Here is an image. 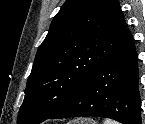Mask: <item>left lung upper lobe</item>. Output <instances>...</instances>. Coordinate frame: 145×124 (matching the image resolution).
Masks as SVG:
<instances>
[{"label":"left lung upper lobe","instance_id":"left-lung-upper-lobe-1","mask_svg":"<svg viewBox=\"0 0 145 124\" xmlns=\"http://www.w3.org/2000/svg\"><path fill=\"white\" fill-rule=\"evenodd\" d=\"M126 32L117 0H67L38 48L18 124H39L55 113L120 45Z\"/></svg>","mask_w":145,"mask_h":124}]
</instances>
